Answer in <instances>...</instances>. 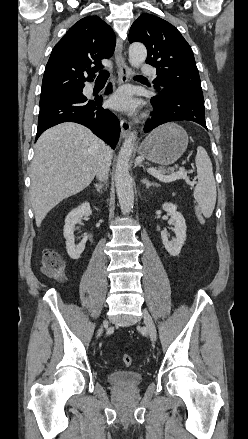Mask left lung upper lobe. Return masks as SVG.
Wrapping results in <instances>:
<instances>
[{
  "instance_id": "1",
  "label": "left lung upper lobe",
  "mask_w": 248,
  "mask_h": 439,
  "mask_svg": "<svg viewBox=\"0 0 248 439\" xmlns=\"http://www.w3.org/2000/svg\"><path fill=\"white\" fill-rule=\"evenodd\" d=\"M129 42L146 46V63L156 67L154 89L203 97L193 51L172 24L151 14H141L131 26Z\"/></svg>"
}]
</instances>
